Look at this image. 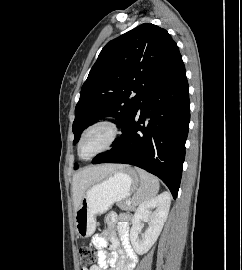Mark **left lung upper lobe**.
<instances>
[{
  "mask_svg": "<svg viewBox=\"0 0 242 270\" xmlns=\"http://www.w3.org/2000/svg\"><path fill=\"white\" fill-rule=\"evenodd\" d=\"M179 56L170 34L153 24L139 25L108 42L81 88L72 127L74 143L101 117L117 118L115 123L123 130L150 85Z\"/></svg>",
  "mask_w": 242,
  "mask_h": 270,
  "instance_id": "left-lung-upper-lobe-1",
  "label": "left lung upper lobe"
}]
</instances>
